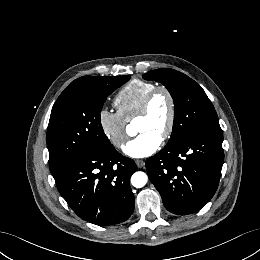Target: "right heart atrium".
Returning a JSON list of instances; mask_svg holds the SVG:
<instances>
[{"label": "right heart atrium", "instance_id": "obj_1", "mask_svg": "<svg viewBox=\"0 0 260 260\" xmlns=\"http://www.w3.org/2000/svg\"><path fill=\"white\" fill-rule=\"evenodd\" d=\"M98 124L106 139L121 149L127 140V121L117 111L102 108L98 112Z\"/></svg>", "mask_w": 260, "mask_h": 260}]
</instances>
